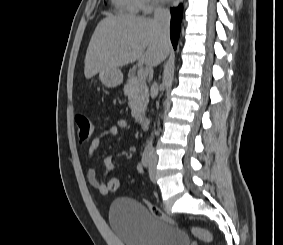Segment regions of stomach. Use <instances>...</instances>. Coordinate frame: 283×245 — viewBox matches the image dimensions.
I'll use <instances>...</instances> for the list:
<instances>
[{
    "label": "stomach",
    "instance_id": "obj_1",
    "mask_svg": "<svg viewBox=\"0 0 283 245\" xmlns=\"http://www.w3.org/2000/svg\"><path fill=\"white\" fill-rule=\"evenodd\" d=\"M99 79L106 87H116L123 81V74L119 68H105L99 72Z\"/></svg>",
    "mask_w": 283,
    "mask_h": 245
}]
</instances>
